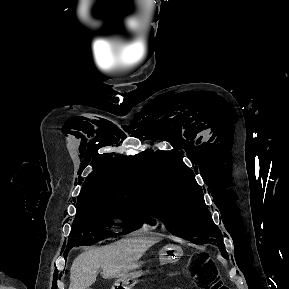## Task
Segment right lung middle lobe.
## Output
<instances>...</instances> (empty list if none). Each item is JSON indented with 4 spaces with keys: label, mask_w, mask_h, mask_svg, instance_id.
<instances>
[{
    "label": "right lung middle lobe",
    "mask_w": 289,
    "mask_h": 289,
    "mask_svg": "<svg viewBox=\"0 0 289 289\" xmlns=\"http://www.w3.org/2000/svg\"><path fill=\"white\" fill-rule=\"evenodd\" d=\"M123 221V233L138 229L141 225L137 202L124 200L82 201L77 203V214L69 235L64 257L79 245H89L114 236L111 221Z\"/></svg>",
    "instance_id": "1"
}]
</instances>
